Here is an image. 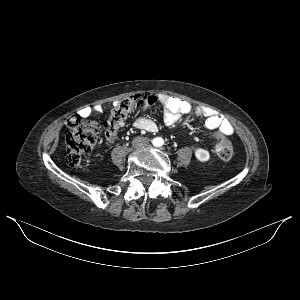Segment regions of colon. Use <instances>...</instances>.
Listing matches in <instances>:
<instances>
[{"instance_id":"1","label":"colon","mask_w":300,"mask_h":300,"mask_svg":"<svg viewBox=\"0 0 300 300\" xmlns=\"http://www.w3.org/2000/svg\"><path fill=\"white\" fill-rule=\"evenodd\" d=\"M157 99L148 95H133L119 100L111 111L103 129L108 142H112L129 113L133 110H150L156 107ZM69 132L66 135V162L73 168H81L83 157L89 154L98 136V125L80 115L68 118ZM216 152L223 160L233 156V146L230 141L221 139L216 145Z\"/></svg>"}]
</instances>
